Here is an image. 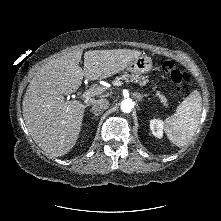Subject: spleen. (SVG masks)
Returning <instances> with one entry per match:
<instances>
[{"mask_svg": "<svg viewBox=\"0 0 221 221\" xmlns=\"http://www.w3.org/2000/svg\"><path fill=\"white\" fill-rule=\"evenodd\" d=\"M201 112V95L199 91L193 90L176 112L165 120V132L172 144L182 147L191 140L198 128Z\"/></svg>", "mask_w": 221, "mask_h": 221, "instance_id": "obj_1", "label": "spleen"}]
</instances>
